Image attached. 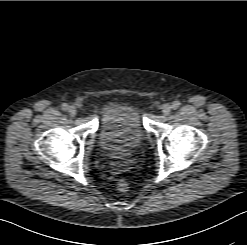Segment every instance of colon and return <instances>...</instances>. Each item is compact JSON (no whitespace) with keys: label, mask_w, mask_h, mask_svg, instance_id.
Wrapping results in <instances>:
<instances>
[{"label":"colon","mask_w":247,"mask_h":245,"mask_svg":"<svg viewBox=\"0 0 247 245\" xmlns=\"http://www.w3.org/2000/svg\"><path fill=\"white\" fill-rule=\"evenodd\" d=\"M117 189L120 192H127L129 189V185L125 180H119L117 183Z\"/></svg>","instance_id":"colon-1"}]
</instances>
